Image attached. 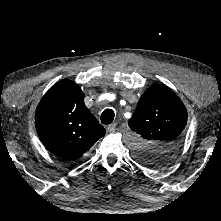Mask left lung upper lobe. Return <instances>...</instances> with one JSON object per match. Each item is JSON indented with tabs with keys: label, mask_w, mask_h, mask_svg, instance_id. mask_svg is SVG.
I'll use <instances>...</instances> for the list:
<instances>
[{
	"label": "left lung upper lobe",
	"mask_w": 221,
	"mask_h": 221,
	"mask_svg": "<svg viewBox=\"0 0 221 221\" xmlns=\"http://www.w3.org/2000/svg\"><path fill=\"white\" fill-rule=\"evenodd\" d=\"M187 111L167 86L154 84L140 97L129 127L136 133L135 158L150 167L166 166L178 152Z\"/></svg>",
	"instance_id": "obj_1"
}]
</instances>
